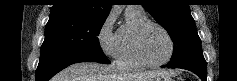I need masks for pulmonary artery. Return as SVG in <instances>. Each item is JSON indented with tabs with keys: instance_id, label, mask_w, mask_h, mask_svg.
Listing matches in <instances>:
<instances>
[{
	"instance_id": "obj_1",
	"label": "pulmonary artery",
	"mask_w": 237,
	"mask_h": 81,
	"mask_svg": "<svg viewBox=\"0 0 237 81\" xmlns=\"http://www.w3.org/2000/svg\"><path fill=\"white\" fill-rule=\"evenodd\" d=\"M127 9H134V10H141V11H143V9L141 7L129 6Z\"/></svg>"
}]
</instances>
